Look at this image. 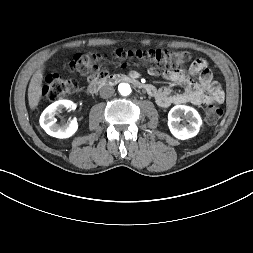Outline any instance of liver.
Listing matches in <instances>:
<instances>
[{"label":"liver","mask_w":253,"mask_h":253,"mask_svg":"<svg viewBox=\"0 0 253 253\" xmlns=\"http://www.w3.org/2000/svg\"><path fill=\"white\" fill-rule=\"evenodd\" d=\"M42 81H43V68H39L32 76L28 88V102L32 110H34L42 97Z\"/></svg>","instance_id":"1"}]
</instances>
